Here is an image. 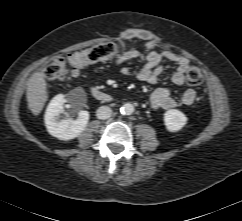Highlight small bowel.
<instances>
[{
  "mask_svg": "<svg viewBox=\"0 0 242 221\" xmlns=\"http://www.w3.org/2000/svg\"><path fill=\"white\" fill-rule=\"evenodd\" d=\"M132 38H139L144 40L145 52L139 53L134 50L126 51L121 55L117 56L113 64L119 66L125 61L138 58L141 61V65L138 68L122 67L120 73L125 77H132L139 81L155 84L158 80L159 75L162 72L161 63L163 61H169L176 64V70L172 75V82L177 86L184 84L185 73L189 67V60L185 57L177 55L172 51H156L155 44L150 37L141 31H129L123 35V39L129 40ZM196 99L195 90L188 88L181 96V103L183 105H192ZM150 104L153 109H172L177 106V101L172 95V91L169 88H158L156 89L151 97Z\"/></svg>",
  "mask_w": 242,
  "mask_h": 221,
  "instance_id": "obj_1",
  "label": "small bowel"
}]
</instances>
